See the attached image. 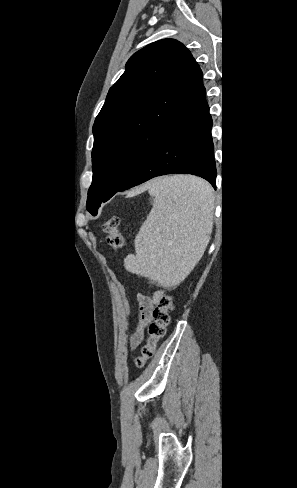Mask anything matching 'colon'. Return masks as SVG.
<instances>
[{"label":"colon","instance_id":"obj_1","mask_svg":"<svg viewBox=\"0 0 297 488\" xmlns=\"http://www.w3.org/2000/svg\"><path fill=\"white\" fill-rule=\"evenodd\" d=\"M120 219L117 216H110L103 224V231L106 234L107 245L113 251H118L124 243L119 231ZM173 309V298L163 296L153 311V321L149 327V338L142 347L141 353L135 358L137 367H142L155 353L157 343L164 337L166 328L170 323V311Z\"/></svg>","mask_w":297,"mask_h":488}]
</instances>
